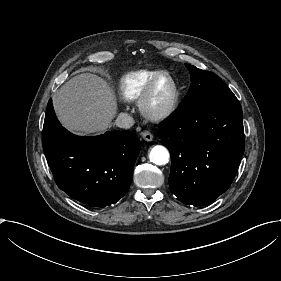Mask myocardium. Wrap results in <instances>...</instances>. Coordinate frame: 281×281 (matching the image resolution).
Listing matches in <instances>:
<instances>
[{
	"label": "myocardium",
	"mask_w": 281,
	"mask_h": 281,
	"mask_svg": "<svg viewBox=\"0 0 281 281\" xmlns=\"http://www.w3.org/2000/svg\"><path fill=\"white\" fill-rule=\"evenodd\" d=\"M164 79H168L172 84V95L168 104L160 109L152 106L153 96L157 85ZM179 90L176 79L170 73H161L152 79L138 100V108L142 116L152 121L164 120L170 117L178 103Z\"/></svg>",
	"instance_id": "1"
}]
</instances>
